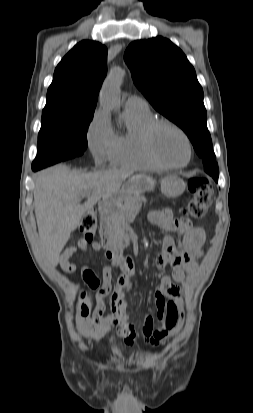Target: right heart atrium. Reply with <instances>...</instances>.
Segmentation results:
<instances>
[{"mask_svg": "<svg viewBox=\"0 0 253 413\" xmlns=\"http://www.w3.org/2000/svg\"><path fill=\"white\" fill-rule=\"evenodd\" d=\"M87 141L96 164L102 165L109 160L115 144V134L103 111L95 114L88 129Z\"/></svg>", "mask_w": 253, "mask_h": 413, "instance_id": "obj_1", "label": "right heart atrium"}]
</instances>
